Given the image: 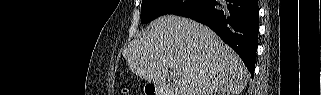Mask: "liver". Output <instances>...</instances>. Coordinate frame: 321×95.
I'll list each match as a JSON object with an SVG mask.
<instances>
[{"label":"liver","instance_id":"obj_1","mask_svg":"<svg viewBox=\"0 0 321 95\" xmlns=\"http://www.w3.org/2000/svg\"><path fill=\"white\" fill-rule=\"evenodd\" d=\"M123 56L150 83L165 85L171 75L175 95H238L249 79L240 57L210 28L179 16L154 20Z\"/></svg>","mask_w":321,"mask_h":95}]
</instances>
